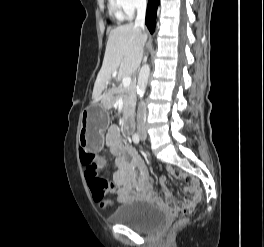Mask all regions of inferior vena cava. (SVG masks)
Wrapping results in <instances>:
<instances>
[{
    "label": "inferior vena cava",
    "mask_w": 264,
    "mask_h": 247,
    "mask_svg": "<svg viewBox=\"0 0 264 247\" xmlns=\"http://www.w3.org/2000/svg\"><path fill=\"white\" fill-rule=\"evenodd\" d=\"M146 0H137L136 9L137 17L135 20V25L144 30L145 27V13H146ZM146 120V105L144 102H140L137 111V125L142 126Z\"/></svg>",
    "instance_id": "1"
}]
</instances>
